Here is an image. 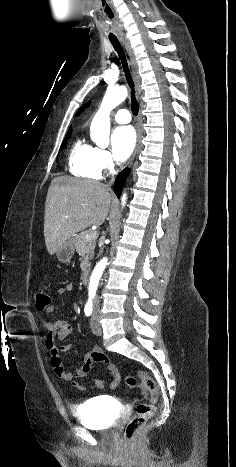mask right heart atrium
<instances>
[{"label": "right heart atrium", "instance_id": "right-heart-atrium-1", "mask_svg": "<svg viewBox=\"0 0 236 467\" xmlns=\"http://www.w3.org/2000/svg\"><path fill=\"white\" fill-rule=\"evenodd\" d=\"M95 162L101 172L112 171L115 167V162L110 152L103 148H95Z\"/></svg>", "mask_w": 236, "mask_h": 467}]
</instances>
